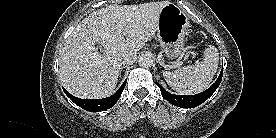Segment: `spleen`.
<instances>
[{
	"label": "spleen",
	"instance_id": "spleen-1",
	"mask_svg": "<svg viewBox=\"0 0 276 138\" xmlns=\"http://www.w3.org/2000/svg\"><path fill=\"white\" fill-rule=\"evenodd\" d=\"M219 63V53L214 45L204 51V59L194 65L184 66L173 72H164L167 84L176 92L192 95L205 90L211 83Z\"/></svg>",
	"mask_w": 276,
	"mask_h": 138
}]
</instances>
